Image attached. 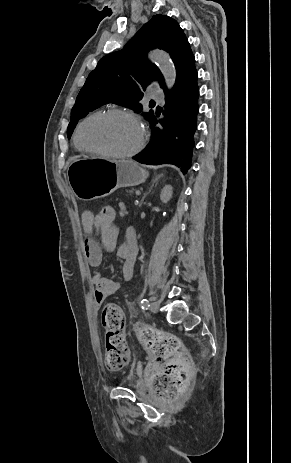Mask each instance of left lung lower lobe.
Instances as JSON below:
<instances>
[{
  "label": "left lung lower lobe",
  "mask_w": 291,
  "mask_h": 463,
  "mask_svg": "<svg viewBox=\"0 0 291 463\" xmlns=\"http://www.w3.org/2000/svg\"><path fill=\"white\" fill-rule=\"evenodd\" d=\"M198 74L192 69L182 76L171 91H165L164 118L149 119L151 140L133 159L143 164H173L185 174L191 166L194 134L199 112ZM160 123L162 128L158 127Z\"/></svg>",
  "instance_id": "left-lung-lower-lobe-1"
}]
</instances>
